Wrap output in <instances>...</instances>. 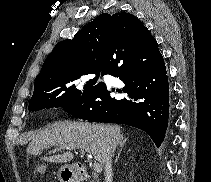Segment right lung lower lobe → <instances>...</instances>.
Returning <instances> with one entry per match:
<instances>
[{"mask_svg":"<svg viewBox=\"0 0 211 182\" xmlns=\"http://www.w3.org/2000/svg\"><path fill=\"white\" fill-rule=\"evenodd\" d=\"M105 74L123 81L127 96L112 98L106 85L99 82L93 93L70 113L92 122L142 129L159 147L168 125L169 85L156 40L149 35L117 47L103 64L101 75Z\"/></svg>","mask_w":211,"mask_h":182,"instance_id":"98d812e1","label":"right lung lower lobe"}]
</instances>
